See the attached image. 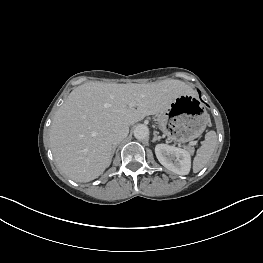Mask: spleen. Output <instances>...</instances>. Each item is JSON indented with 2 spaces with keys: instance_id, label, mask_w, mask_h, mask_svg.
<instances>
[{
  "instance_id": "1",
  "label": "spleen",
  "mask_w": 263,
  "mask_h": 263,
  "mask_svg": "<svg viewBox=\"0 0 263 263\" xmlns=\"http://www.w3.org/2000/svg\"><path fill=\"white\" fill-rule=\"evenodd\" d=\"M217 145V135L215 131H209L205 135V140L203 141L197 155L193 160V172H199L211 158Z\"/></svg>"
}]
</instances>
